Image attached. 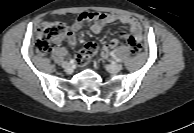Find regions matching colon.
<instances>
[{"label":"colon","instance_id":"colon-1","mask_svg":"<svg viewBox=\"0 0 194 133\" xmlns=\"http://www.w3.org/2000/svg\"><path fill=\"white\" fill-rule=\"evenodd\" d=\"M67 31L65 23L59 21L44 22L38 29L35 48L39 55H47L53 48L54 44L62 38ZM129 48L132 54H138L142 49V44L134 37H130ZM97 47L94 43H88L76 55V61L80 65H85L96 53Z\"/></svg>","mask_w":194,"mask_h":133}]
</instances>
